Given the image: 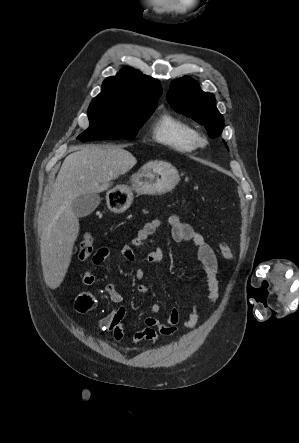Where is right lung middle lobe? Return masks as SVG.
Instances as JSON below:
<instances>
[{
	"mask_svg": "<svg viewBox=\"0 0 299 443\" xmlns=\"http://www.w3.org/2000/svg\"><path fill=\"white\" fill-rule=\"evenodd\" d=\"M156 105L93 99L88 108L90 126L77 139L82 142L132 139L154 111Z\"/></svg>",
	"mask_w": 299,
	"mask_h": 443,
	"instance_id": "right-lung-middle-lobe-1",
	"label": "right lung middle lobe"
}]
</instances>
